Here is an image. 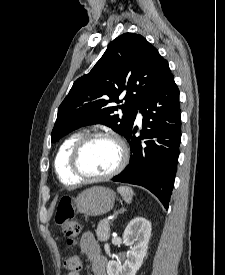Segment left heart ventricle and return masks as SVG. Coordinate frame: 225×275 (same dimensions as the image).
Wrapping results in <instances>:
<instances>
[{"mask_svg":"<svg viewBox=\"0 0 225 275\" xmlns=\"http://www.w3.org/2000/svg\"><path fill=\"white\" fill-rule=\"evenodd\" d=\"M119 157V147L114 141L96 138L82 151L79 164L82 171L87 174L102 175L116 167Z\"/></svg>","mask_w":225,"mask_h":275,"instance_id":"obj_1","label":"left heart ventricle"}]
</instances>
